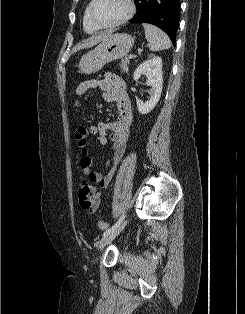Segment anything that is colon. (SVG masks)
Returning <instances> with one entry per match:
<instances>
[{"label": "colon", "mask_w": 245, "mask_h": 314, "mask_svg": "<svg viewBox=\"0 0 245 314\" xmlns=\"http://www.w3.org/2000/svg\"><path fill=\"white\" fill-rule=\"evenodd\" d=\"M96 190L92 182H81L78 188L79 203L82 209L91 212L93 210L96 200ZM98 228L101 231H106L109 228V224L105 221H98Z\"/></svg>", "instance_id": "5ec220e1"}]
</instances>
